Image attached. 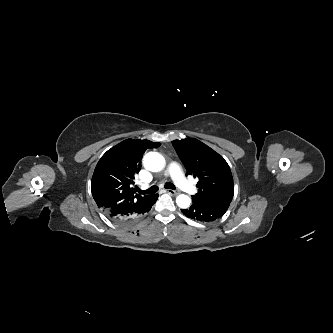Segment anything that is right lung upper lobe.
<instances>
[{
  "label": "right lung upper lobe",
  "instance_id": "1",
  "mask_svg": "<svg viewBox=\"0 0 333 333\" xmlns=\"http://www.w3.org/2000/svg\"><path fill=\"white\" fill-rule=\"evenodd\" d=\"M160 145L146 139H127L101 157L91 182L93 198L101 210L119 205L129 207L151 196L135 194L134 178L141 168L142 155L146 149Z\"/></svg>",
  "mask_w": 333,
  "mask_h": 333
}]
</instances>
